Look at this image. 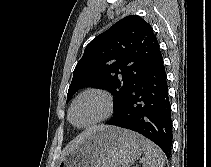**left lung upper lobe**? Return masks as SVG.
Segmentation results:
<instances>
[{
    "instance_id": "1",
    "label": "left lung upper lobe",
    "mask_w": 211,
    "mask_h": 167,
    "mask_svg": "<svg viewBox=\"0 0 211 167\" xmlns=\"http://www.w3.org/2000/svg\"><path fill=\"white\" fill-rule=\"evenodd\" d=\"M158 51L150 24L137 15L121 19L86 46L74 69L67 102L80 88H104L113 93L115 115L118 114L126 95Z\"/></svg>"
}]
</instances>
